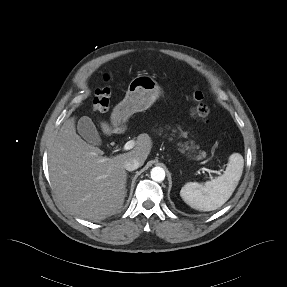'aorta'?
Returning a JSON list of instances; mask_svg holds the SVG:
<instances>
[{
	"label": "aorta",
	"instance_id": "1",
	"mask_svg": "<svg viewBox=\"0 0 287 287\" xmlns=\"http://www.w3.org/2000/svg\"><path fill=\"white\" fill-rule=\"evenodd\" d=\"M151 178L156 182H161L165 179V171L161 167H154L151 170Z\"/></svg>",
	"mask_w": 287,
	"mask_h": 287
}]
</instances>
